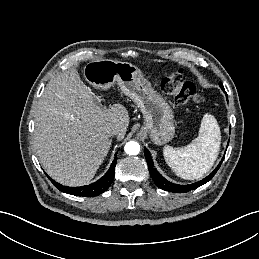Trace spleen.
I'll return each instance as SVG.
<instances>
[{"instance_id": "spleen-1", "label": "spleen", "mask_w": 259, "mask_h": 259, "mask_svg": "<svg viewBox=\"0 0 259 259\" xmlns=\"http://www.w3.org/2000/svg\"><path fill=\"white\" fill-rule=\"evenodd\" d=\"M221 144L220 127L215 117L205 114L198 137L185 147L165 146L163 155L166 163L179 177L186 180L201 178L216 161Z\"/></svg>"}]
</instances>
